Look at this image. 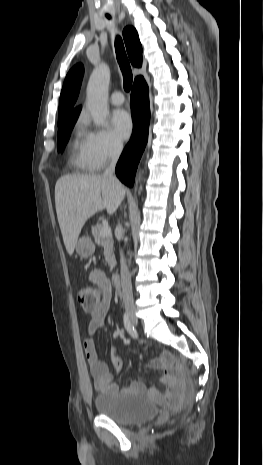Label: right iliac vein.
<instances>
[{
	"label": "right iliac vein",
	"mask_w": 263,
	"mask_h": 465,
	"mask_svg": "<svg viewBox=\"0 0 263 465\" xmlns=\"http://www.w3.org/2000/svg\"><path fill=\"white\" fill-rule=\"evenodd\" d=\"M127 314H128V316H129V318L131 319L132 322L137 323V318H136L134 310H128Z\"/></svg>",
	"instance_id": "obj_1"
}]
</instances>
